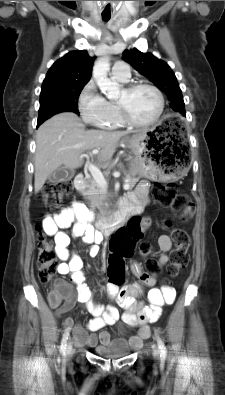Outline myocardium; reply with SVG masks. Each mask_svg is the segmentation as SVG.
<instances>
[{"instance_id":"f54148a6","label":"myocardium","mask_w":225,"mask_h":395,"mask_svg":"<svg viewBox=\"0 0 225 395\" xmlns=\"http://www.w3.org/2000/svg\"><path fill=\"white\" fill-rule=\"evenodd\" d=\"M139 88H148L155 93V95L158 99V111H157L155 117L148 122H137L129 116L125 105L123 103L117 101L116 105H117V108L119 111V115H120V118H121L124 125L130 126V127H136V128L151 127V126L155 125L160 120V118L164 112V106H165L164 97L158 87H156L155 85L150 84L148 82H136V83L129 84L123 88V91H125L126 93H133L134 91H136Z\"/></svg>"}]
</instances>
